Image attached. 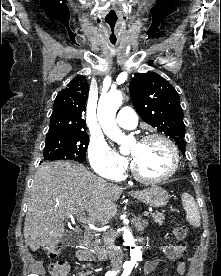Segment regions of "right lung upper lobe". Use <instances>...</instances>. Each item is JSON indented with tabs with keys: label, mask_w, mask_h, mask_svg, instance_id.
Returning a JSON list of instances; mask_svg holds the SVG:
<instances>
[{
	"label": "right lung upper lobe",
	"mask_w": 221,
	"mask_h": 276,
	"mask_svg": "<svg viewBox=\"0 0 221 276\" xmlns=\"http://www.w3.org/2000/svg\"><path fill=\"white\" fill-rule=\"evenodd\" d=\"M83 75L75 77L54 101L47 136L86 132L82 118L88 98V84Z\"/></svg>",
	"instance_id": "right-lung-upper-lobe-1"
}]
</instances>
